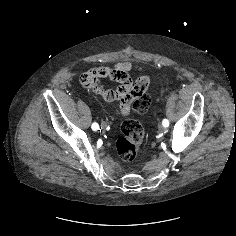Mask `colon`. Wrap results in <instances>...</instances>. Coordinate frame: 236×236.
Masks as SVG:
<instances>
[{"mask_svg":"<svg viewBox=\"0 0 236 236\" xmlns=\"http://www.w3.org/2000/svg\"><path fill=\"white\" fill-rule=\"evenodd\" d=\"M146 91L138 98L136 102H134V104L129 109H132L135 113H144L148 109L150 99ZM143 137L144 130L138 120H125L121 125V135L116 141V149L119 156L124 161H133L139 152Z\"/></svg>","mask_w":236,"mask_h":236,"instance_id":"colon-1","label":"colon"}]
</instances>
